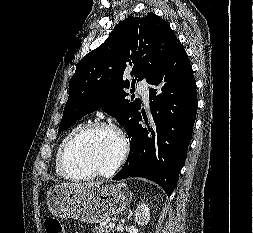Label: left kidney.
Returning a JSON list of instances; mask_svg holds the SVG:
<instances>
[{"instance_id": "obj_1", "label": "left kidney", "mask_w": 253, "mask_h": 233, "mask_svg": "<svg viewBox=\"0 0 253 233\" xmlns=\"http://www.w3.org/2000/svg\"><path fill=\"white\" fill-rule=\"evenodd\" d=\"M135 221L138 225H147L150 221V209L144 202L139 204L135 210Z\"/></svg>"}]
</instances>
